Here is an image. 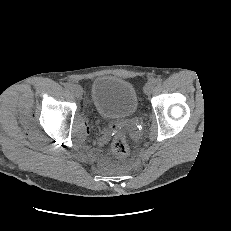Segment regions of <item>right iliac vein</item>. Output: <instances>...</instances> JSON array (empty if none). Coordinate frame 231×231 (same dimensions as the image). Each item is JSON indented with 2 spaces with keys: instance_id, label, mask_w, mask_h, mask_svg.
I'll return each mask as SVG.
<instances>
[{
  "instance_id": "63e3f726",
  "label": "right iliac vein",
  "mask_w": 231,
  "mask_h": 231,
  "mask_svg": "<svg viewBox=\"0 0 231 231\" xmlns=\"http://www.w3.org/2000/svg\"><path fill=\"white\" fill-rule=\"evenodd\" d=\"M70 89H71V92L77 97L82 94V88L80 85L74 84L71 86Z\"/></svg>"
}]
</instances>
